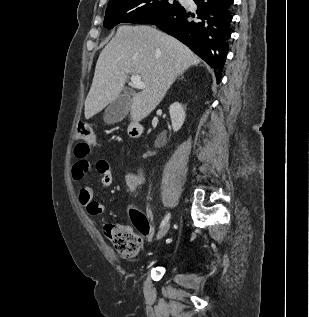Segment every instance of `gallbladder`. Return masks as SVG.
<instances>
[{
	"mask_svg": "<svg viewBox=\"0 0 309 317\" xmlns=\"http://www.w3.org/2000/svg\"><path fill=\"white\" fill-rule=\"evenodd\" d=\"M130 105L131 96L129 91L126 90L124 94L119 95L107 106L104 113V121L108 124L121 121L128 113Z\"/></svg>",
	"mask_w": 309,
	"mask_h": 317,
	"instance_id": "1",
	"label": "gallbladder"
}]
</instances>
